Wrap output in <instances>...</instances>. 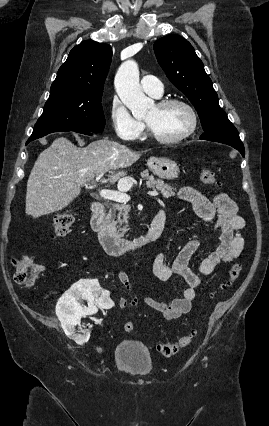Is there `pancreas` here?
Listing matches in <instances>:
<instances>
[{
    "label": "pancreas",
    "instance_id": "pancreas-1",
    "mask_svg": "<svg viewBox=\"0 0 269 426\" xmlns=\"http://www.w3.org/2000/svg\"><path fill=\"white\" fill-rule=\"evenodd\" d=\"M142 176L146 178V185L148 188H152L154 191H159L165 198H169L175 195L174 187L164 183L161 179H155L153 175H149L147 171L143 172ZM109 212L106 216V221L112 226H116L120 229V226L125 223L126 225L122 228L123 232H126L128 223V213L130 207L126 204H109Z\"/></svg>",
    "mask_w": 269,
    "mask_h": 426
}]
</instances>
